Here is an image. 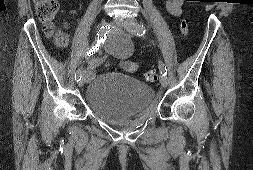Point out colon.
<instances>
[{
	"instance_id": "5ec220e1",
	"label": "colon",
	"mask_w": 253,
	"mask_h": 170,
	"mask_svg": "<svg viewBox=\"0 0 253 170\" xmlns=\"http://www.w3.org/2000/svg\"><path fill=\"white\" fill-rule=\"evenodd\" d=\"M33 3L35 5L38 18L44 24L45 33L54 38L57 46L64 47L67 41L65 35L61 32H56L53 26V21L59 9L57 0H33ZM180 33L184 37L189 34V20L187 18H184L181 21ZM158 77L159 74L155 70L147 71L145 74V78L149 82H156Z\"/></svg>"
}]
</instances>
